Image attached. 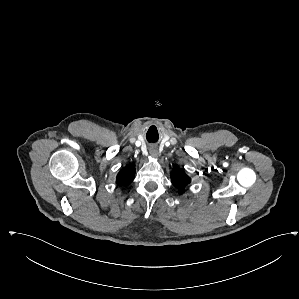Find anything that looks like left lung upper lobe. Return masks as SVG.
Here are the masks:
<instances>
[{
	"label": "left lung upper lobe",
	"mask_w": 299,
	"mask_h": 299,
	"mask_svg": "<svg viewBox=\"0 0 299 299\" xmlns=\"http://www.w3.org/2000/svg\"><path fill=\"white\" fill-rule=\"evenodd\" d=\"M171 181L175 187L183 192L184 188L190 183L191 179L182 169L175 167L171 172Z\"/></svg>",
	"instance_id": "1"
}]
</instances>
